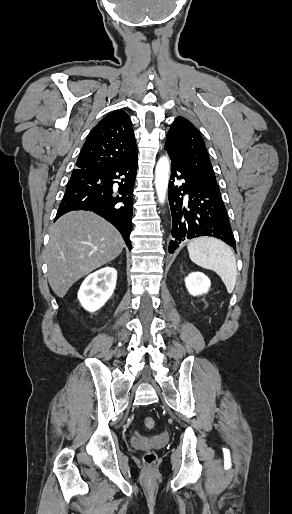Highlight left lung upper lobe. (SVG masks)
Returning a JSON list of instances; mask_svg holds the SVG:
<instances>
[{"label":"left lung upper lobe","mask_w":292,"mask_h":514,"mask_svg":"<svg viewBox=\"0 0 292 514\" xmlns=\"http://www.w3.org/2000/svg\"><path fill=\"white\" fill-rule=\"evenodd\" d=\"M165 149L193 176L217 185L204 140L189 120L181 116L174 120L166 136Z\"/></svg>","instance_id":"obj_1"}]
</instances>
